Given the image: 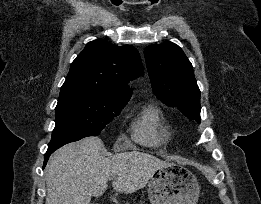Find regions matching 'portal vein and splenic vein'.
<instances>
[{"label":"portal vein and splenic vein","mask_w":261,"mask_h":204,"mask_svg":"<svg viewBox=\"0 0 261 204\" xmlns=\"http://www.w3.org/2000/svg\"><path fill=\"white\" fill-rule=\"evenodd\" d=\"M116 178V176H111L109 179L110 180H113V179H115Z\"/></svg>","instance_id":"18ae733b"}]
</instances>
